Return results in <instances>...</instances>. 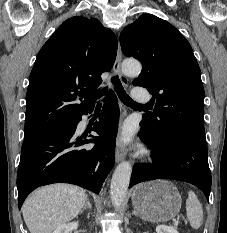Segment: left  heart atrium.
Segmentation results:
<instances>
[{
	"mask_svg": "<svg viewBox=\"0 0 227 233\" xmlns=\"http://www.w3.org/2000/svg\"><path fill=\"white\" fill-rule=\"evenodd\" d=\"M119 141L122 144H129L132 140V130L131 127L126 125L123 127L122 131L118 136Z\"/></svg>",
	"mask_w": 227,
	"mask_h": 233,
	"instance_id": "obj_1",
	"label": "left heart atrium"
}]
</instances>
